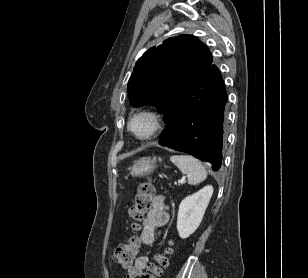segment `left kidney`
I'll return each instance as SVG.
<instances>
[{"instance_id": "left-kidney-1", "label": "left kidney", "mask_w": 308, "mask_h": 278, "mask_svg": "<svg viewBox=\"0 0 308 278\" xmlns=\"http://www.w3.org/2000/svg\"><path fill=\"white\" fill-rule=\"evenodd\" d=\"M213 194L211 185L187 196L179 205L177 230L182 239L188 238L199 227Z\"/></svg>"}]
</instances>
